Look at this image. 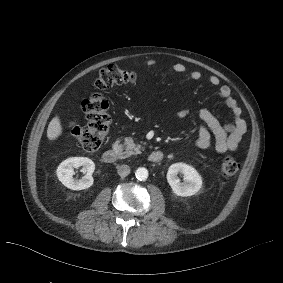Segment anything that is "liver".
<instances>
[{"label": "liver", "instance_id": "6515ba94", "mask_svg": "<svg viewBox=\"0 0 283 283\" xmlns=\"http://www.w3.org/2000/svg\"><path fill=\"white\" fill-rule=\"evenodd\" d=\"M61 133H62V127L60 124V120L56 116L49 123L48 129H47V137L49 140H54L59 135H61Z\"/></svg>", "mask_w": 283, "mask_h": 283}]
</instances>
